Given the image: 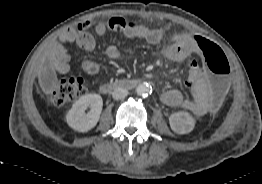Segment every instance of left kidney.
Wrapping results in <instances>:
<instances>
[{
	"mask_svg": "<svg viewBox=\"0 0 262 184\" xmlns=\"http://www.w3.org/2000/svg\"><path fill=\"white\" fill-rule=\"evenodd\" d=\"M169 124L175 133L187 134L194 129L195 120L190 113L186 111H179L170 115Z\"/></svg>",
	"mask_w": 262,
	"mask_h": 184,
	"instance_id": "1",
	"label": "left kidney"
}]
</instances>
